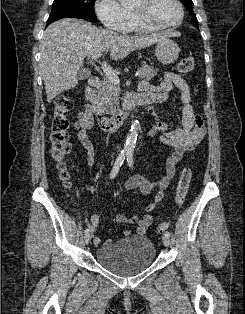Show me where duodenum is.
I'll list each match as a JSON object with an SVG mask.
<instances>
[{
    "label": "duodenum",
    "instance_id": "1",
    "mask_svg": "<svg viewBox=\"0 0 245 314\" xmlns=\"http://www.w3.org/2000/svg\"><path fill=\"white\" fill-rule=\"evenodd\" d=\"M100 83L99 76H90L88 86L84 90V99L88 112L92 116H96L100 129L103 132H112L124 126L132 109L137 104L142 103L146 97L141 93L129 94L122 99L116 114L112 117H106L101 113L93 96V91L100 86Z\"/></svg>",
    "mask_w": 245,
    "mask_h": 314
}]
</instances>
